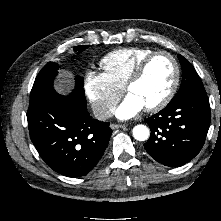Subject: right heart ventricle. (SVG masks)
Masks as SVG:
<instances>
[{"mask_svg": "<svg viewBox=\"0 0 221 221\" xmlns=\"http://www.w3.org/2000/svg\"><path fill=\"white\" fill-rule=\"evenodd\" d=\"M153 50L141 47L116 49L101 60V66L110 79L119 87H124L137 64Z\"/></svg>", "mask_w": 221, "mask_h": 221, "instance_id": "1", "label": "right heart ventricle"}]
</instances>
